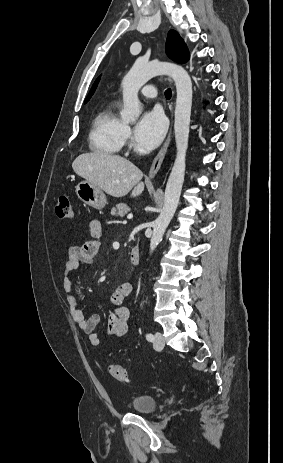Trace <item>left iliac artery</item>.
<instances>
[{
	"label": "left iliac artery",
	"instance_id": "44dca946",
	"mask_svg": "<svg viewBox=\"0 0 283 463\" xmlns=\"http://www.w3.org/2000/svg\"><path fill=\"white\" fill-rule=\"evenodd\" d=\"M146 339L150 342L154 340V336L151 333L146 334Z\"/></svg>",
	"mask_w": 283,
	"mask_h": 463
}]
</instances>
